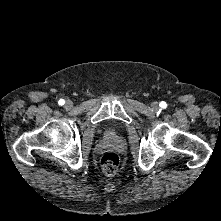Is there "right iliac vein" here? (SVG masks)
<instances>
[{
	"label": "right iliac vein",
	"mask_w": 221,
	"mask_h": 221,
	"mask_svg": "<svg viewBox=\"0 0 221 221\" xmlns=\"http://www.w3.org/2000/svg\"><path fill=\"white\" fill-rule=\"evenodd\" d=\"M73 107V102L71 100H67L65 103L66 109H71Z\"/></svg>",
	"instance_id": "63e3f726"
}]
</instances>
